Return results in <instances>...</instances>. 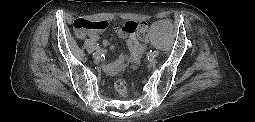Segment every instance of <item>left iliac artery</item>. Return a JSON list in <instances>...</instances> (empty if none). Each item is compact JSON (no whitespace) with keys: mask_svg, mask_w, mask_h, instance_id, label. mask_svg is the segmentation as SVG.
I'll return each mask as SVG.
<instances>
[{"mask_svg":"<svg viewBox=\"0 0 255 122\" xmlns=\"http://www.w3.org/2000/svg\"><path fill=\"white\" fill-rule=\"evenodd\" d=\"M152 54H153V56H155V57H158V56H159V52H158V51H156V50H155V51H153V53H152Z\"/></svg>","mask_w":255,"mask_h":122,"instance_id":"1","label":"left iliac artery"}]
</instances>
